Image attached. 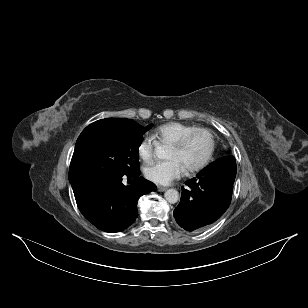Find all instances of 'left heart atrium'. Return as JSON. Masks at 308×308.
<instances>
[{"mask_svg":"<svg viewBox=\"0 0 308 308\" xmlns=\"http://www.w3.org/2000/svg\"><path fill=\"white\" fill-rule=\"evenodd\" d=\"M185 171L183 164L176 158L149 165L144 169L146 178L160 185L171 183L181 177Z\"/></svg>","mask_w":308,"mask_h":308,"instance_id":"obj_1","label":"left heart atrium"}]
</instances>
